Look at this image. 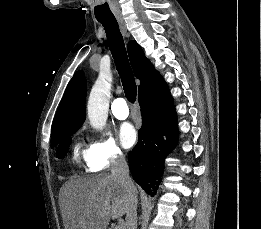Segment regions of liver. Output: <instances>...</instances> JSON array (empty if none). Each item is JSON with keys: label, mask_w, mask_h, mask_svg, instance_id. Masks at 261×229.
<instances>
[{"label": "liver", "mask_w": 261, "mask_h": 229, "mask_svg": "<svg viewBox=\"0 0 261 229\" xmlns=\"http://www.w3.org/2000/svg\"><path fill=\"white\" fill-rule=\"evenodd\" d=\"M66 229H107L109 221L126 215L131 197L112 175L72 179L65 185ZM137 197V191H133Z\"/></svg>", "instance_id": "obj_1"}]
</instances>
